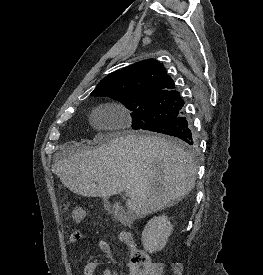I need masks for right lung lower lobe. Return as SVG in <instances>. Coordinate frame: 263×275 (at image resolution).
Segmentation results:
<instances>
[{"label":"right lung lower lobe","mask_w":263,"mask_h":275,"mask_svg":"<svg viewBox=\"0 0 263 275\" xmlns=\"http://www.w3.org/2000/svg\"><path fill=\"white\" fill-rule=\"evenodd\" d=\"M152 131L177 137L191 146L195 145L194 134L184 115H180L174 120L152 129Z\"/></svg>","instance_id":"98d812e1"}]
</instances>
